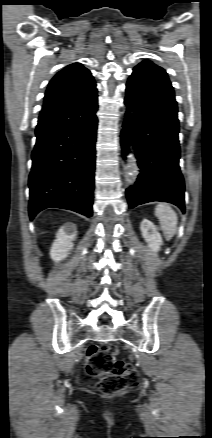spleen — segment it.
Returning a JSON list of instances; mask_svg holds the SVG:
<instances>
[{
	"mask_svg": "<svg viewBox=\"0 0 212 438\" xmlns=\"http://www.w3.org/2000/svg\"><path fill=\"white\" fill-rule=\"evenodd\" d=\"M155 215L159 219L161 229L167 240H171L177 232L178 217L169 204L160 203L155 208Z\"/></svg>",
	"mask_w": 212,
	"mask_h": 438,
	"instance_id": "3e777b00",
	"label": "spleen"
}]
</instances>
